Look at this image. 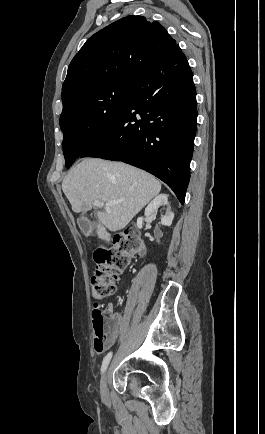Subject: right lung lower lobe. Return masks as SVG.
Returning a JSON list of instances; mask_svg holds the SVG:
<instances>
[{
	"label": "right lung lower lobe",
	"mask_w": 265,
	"mask_h": 434,
	"mask_svg": "<svg viewBox=\"0 0 265 434\" xmlns=\"http://www.w3.org/2000/svg\"><path fill=\"white\" fill-rule=\"evenodd\" d=\"M191 68L178 44L134 78L125 108L81 156L123 161L164 181L183 204L197 125Z\"/></svg>",
	"instance_id": "obj_1"
}]
</instances>
